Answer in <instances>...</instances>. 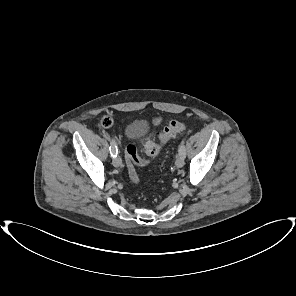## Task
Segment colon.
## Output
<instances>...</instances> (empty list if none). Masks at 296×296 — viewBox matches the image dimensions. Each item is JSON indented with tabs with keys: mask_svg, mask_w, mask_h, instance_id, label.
Returning <instances> with one entry per match:
<instances>
[{
	"mask_svg": "<svg viewBox=\"0 0 296 296\" xmlns=\"http://www.w3.org/2000/svg\"><path fill=\"white\" fill-rule=\"evenodd\" d=\"M102 125L106 128L111 127L112 119L105 117L102 120ZM187 129L184 123L179 121H171L168 126L159 134L158 141H148L145 145L146 153L149 156V160L142 159L137 152V148L134 144L129 143L124 148V154L127 162L128 175L131 181L135 184L139 183V177L137 174L138 167H144L150 164L151 160L158 157L161 153L163 146L175 136L182 134Z\"/></svg>",
	"mask_w": 296,
	"mask_h": 296,
	"instance_id": "obj_1",
	"label": "colon"
}]
</instances>
